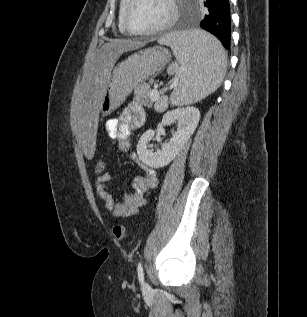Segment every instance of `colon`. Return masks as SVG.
Masks as SVG:
<instances>
[{
	"label": "colon",
	"instance_id": "colon-1",
	"mask_svg": "<svg viewBox=\"0 0 307 317\" xmlns=\"http://www.w3.org/2000/svg\"><path fill=\"white\" fill-rule=\"evenodd\" d=\"M107 171V163L105 160L100 159L95 164V173L101 175ZM113 234L118 240H124L127 236V230L124 225L117 224L113 228Z\"/></svg>",
	"mask_w": 307,
	"mask_h": 317
}]
</instances>
